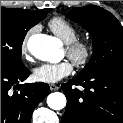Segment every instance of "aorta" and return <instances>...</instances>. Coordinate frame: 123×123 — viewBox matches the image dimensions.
Wrapping results in <instances>:
<instances>
[{"mask_svg":"<svg viewBox=\"0 0 123 123\" xmlns=\"http://www.w3.org/2000/svg\"><path fill=\"white\" fill-rule=\"evenodd\" d=\"M29 52L37 59L47 62L57 60L60 46L58 40L45 34H34L27 41ZM47 104L53 110H61L66 106V97L61 92H53L47 97Z\"/></svg>","mask_w":123,"mask_h":123,"instance_id":"762f6f07","label":"aorta"}]
</instances>
